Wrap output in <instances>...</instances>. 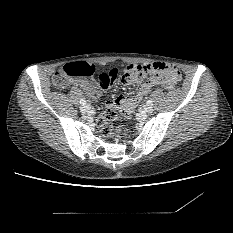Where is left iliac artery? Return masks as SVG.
<instances>
[{
	"label": "left iliac artery",
	"instance_id": "obj_1",
	"mask_svg": "<svg viewBox=\"0 0 233 233\" xmlns=\"http://www.w3.org/2000/svg\"><path fill=\"white\" fill-rule=\"evenodd\" d=\"M146 104L149 105V106H152V105H153V101H152V100H148V101L146 102Z\"/></svg>",
	"mask_w": 233,
	"mask_h": 233
}]
</instances>
